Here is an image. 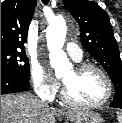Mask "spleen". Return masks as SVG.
<instances>
[{
    "label": "spleen",
    "instance_id": "1",
    "mask_svg": "<svg viewBox=\"0 0 122 123\" xmlns=\"http://www.w3.org/2000/svg\"><path fill=\"white\" fill-rule=\"evenodd\" d=\"M118 122L122 123V112H117Z\"/></svg>",
    "mask_w": 122,
    "mask_h": 123
}]
</instances>
